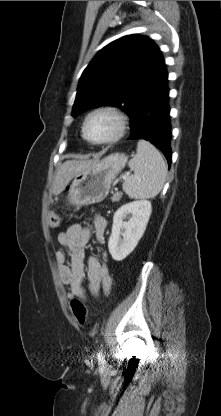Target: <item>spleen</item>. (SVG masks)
<instances>
[{
	"label": "spleen",
	"instance_id": "3e777b00",
	"mask_svg": "<svg viewBox=\"0 0 221 416\" xmlns=\"http://www.w3.org/2000/svg\"><path fill=\"white\" fill-rule=\"evenodd\" d=\"M136 151L129 161L134 174L123 182V191L134 199L154 198L163 188L167 166L161 153L148 141L139 140Z\"/></svg>",
	"mask_w": 221,
	"mask_h": 416
}]
</instances>
